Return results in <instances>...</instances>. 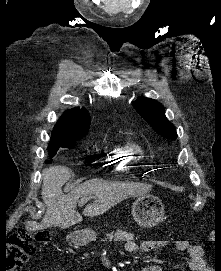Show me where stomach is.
Segmentation results:
<instances>
[{
    "label": "stomach",
    "instance_id": "stomach-1",
    "mask_svg": "<svg viewBox=\"0 0 221 271\" xmlns=\"http://www.w3.org/2000/svg\"><path fill=\"white\" fill-rule=\"evenodd\" d=\"M164 208L157 197H137L132 205V217L142 227H154L163 219ZM96 233L92 230H79L73 233V238L95 239Z\"/></svg>",
    "mask_w": 221,
    "mask_h": 271
}]
</instances>
